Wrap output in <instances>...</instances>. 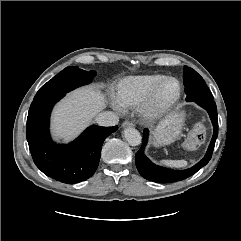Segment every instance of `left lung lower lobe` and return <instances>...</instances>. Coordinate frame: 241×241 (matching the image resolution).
Masks as SVG:
<instances>
[{
    "label": "left lung lower lobe",
    "mask_w": 241,
    "mask_h": 241,
    "mask_svg": "<svg viewBox=\"0 0 241 241\" xmlns=\"http://www.w3.org/2000/svg\"><path fill=\"white\" fill-rule=\"evenodd\" d=\"M194 102H196L199 106H201L208 112L214 127L213 137L211 139V142L205 157L200 162H198L195 166L183 171H174L171 169L157 166L153 164L144 154V149L148 143V130L144 129L142 145L139 151L135 155V161H136V166L139 173L145 179L154 181L156 183H173V182L181 181L194 175L200 168L205 166L211 159L214 146H215V141L218 136V118H217L216 103L214 102V99H205V98L195 99Z\"/></svg>",
    "instance_id": "0a47b994"
}]
</instances>
